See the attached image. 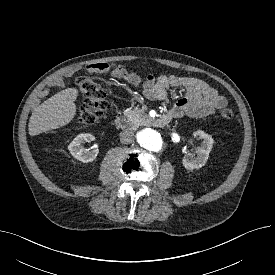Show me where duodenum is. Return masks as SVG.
Segmentation results:
<instances>
[{
  "label": "duodenum",
  "mask_w": 275,
  "mask_h": 275,
  "mask_svg": "<svg viewBox=\"0 0 275 275\" xmlns=\"http://www.w3.org/2000/svg\"><path fill=\"white\" fill-rule=\"evenodd\" d=\"M170 121V117L168 115L166 116H160L156 117L150 120V124L155 127H164L168 122ZM130 121L125 116H117L115 119V126L118 129H125L128 127Z\"/></svg>",
  "instance_id": "duodenum-1"
}]
</instances>
